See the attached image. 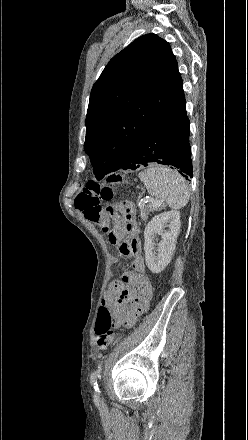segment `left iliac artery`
Instances as JSON below:
<instances>
[{"label":"left iliac artery","instance_id":"obj_1","mask_svg":"<svg viewBox=\"0 0 248 440\" xmlns=\"http://www.w3.org/2000/svg\"><path fill=\"white\" fill-rule=\"evenodd\" d=\"M102 366L99 365L98 368L91 375V382L96 391H99L97 379L101 377Z\"/></svg>","mask_w":248,"mask_h":440}]
</instances>
